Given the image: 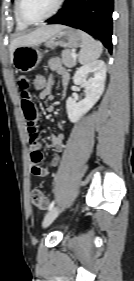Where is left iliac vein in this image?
I'll use <instances>...</instances> for the list:
<instances>
[{"label":"left iliac vein","instance_id":"obj_1","mask_svg":"<svg viewBox=\"0 0 134 281\" xmlns=\"http://www.w3.org/2000/svg\"><path fill=\"white\" fill-rule=\"evenodd\" d=\"M61 209L59 207H54L49 213L46 215L44 221H43V227L46 228L48 227L54 219L58 216L60 213Z\"/></svg>","mask_w":134,"mask_h":281}]
</instances>
